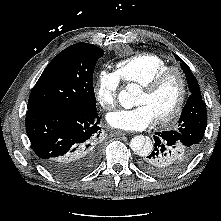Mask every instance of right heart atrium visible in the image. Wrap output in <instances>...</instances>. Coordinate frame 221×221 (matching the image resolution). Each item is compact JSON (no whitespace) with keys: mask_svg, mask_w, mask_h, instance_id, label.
<instances>
[{"mask_svg":"<svg viewBox=\"0 0 221 221\" xmlns=\"http://www.w3.org/2000/svg\"><path fill=\"white\" fill-rule=\"evenodd\" d=\"M120 81L115 73L101 70L96 77L94 96L105 110H112L117 104Z\"/></svg>","mask_w":221,"mask_h":221,"instance_id":"right-heart-atrium-1","label":"right heart atrium"}]
</instances>
